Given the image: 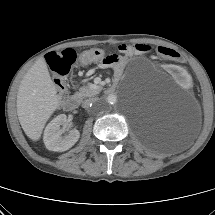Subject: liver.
Returning a JSON list of instances; mask_svg holds the SVG:
<instances>
[{"label": "liver", "instance_id": "obj_1", "mask_svg": "<svg viewBox=\"0 0 215 215\" xmlns=\"http://www.w3.org/2000/svg\"><path fill=\"white\" fill-rule=\"evenodd\" d=\"M60 99L44 58L38 59L23 77L16 100L17 115L25 134L40 139L46 122Z\"/></svg>", "mask_w": 215, "mask_h": 215}]
</instances>
